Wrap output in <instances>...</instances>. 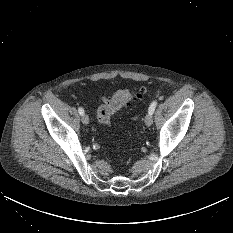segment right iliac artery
Wrapping results in <instances>:
<instances>
[{
  "instance_id": "right-iliac-artery-1",
  "label": "right iliac artery",
  "mask_w": 233,
  "mask_h": 233,
  "mask_svg": "<svg viewBox=\"0 0 233 233\" xmlns=\"http://www.w3.org/2000/svg\"><path fill=\"white\" fill-rule=\"evenodd\" d=\"M78 112H79L80 115H83V114H84L83 108L80 107V108L78 109Z\"/></svg>"
}]
</instances>
